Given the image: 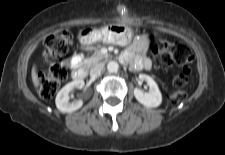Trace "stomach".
Returning a JSON list of instances; mask_svg holds the SVG:
<instances>
[{"instance_id":"stomach-1","label":"stomach","mask_w":225,"mask_h":155,"mask_svg":"<svg viewBox=\"0 0 225 155\" xmlns=\"http://www.w3.org/2000/svg\"><path fill=\"white\" fill-rule=\"evenodd\" d=\"M79 38L83 44H93L101 41L108 44L126 46L131 43L133 34L131 29L126 26L111 24L98 30H81Z\"/></svg>"}]
</instances>
